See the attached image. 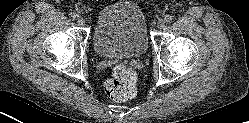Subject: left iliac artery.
Instances as JSON below:
<instances>
[{"label": "left iliac artery", "mask_w": 249, "mask_h": 123, "mask_svg": "<svg viewBox=\"0 0 249 123\" xmlns=\"http://www.w3.org/2000/svg\"><path fill=\"white\" fill-rule=\"evenodd\" d=\"M172 20H173V17H172L171 15L165 16V21H166L167 23H171Z\"/></svg>", "instance_id": "44dca946"}]
</instances>
